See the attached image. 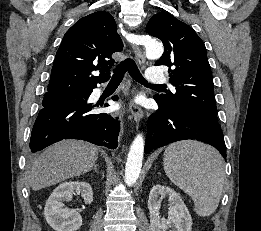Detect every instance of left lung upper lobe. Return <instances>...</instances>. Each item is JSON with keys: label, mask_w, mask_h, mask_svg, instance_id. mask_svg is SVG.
Instances as JSON below:
<instances>
[{"label": "left lung upper lobe", "mask_w": 261, "mask_h": 231, "mask_svg": "<svg viewBox=\"0 0 261 231\" xmlns=\"http://www.w3.org/2000/svg\"><path fill=\"white\" fill-rule=\"evenodd\" d=\"M146 30L163 42L164 53L155 65L169 66V81L176 87V92L157 94L154 99L168 108H184L220 127L212 72L200 37L168 12L155 14Z\"/></svg>", "instance_id": "obj_1"}]
</instances>
